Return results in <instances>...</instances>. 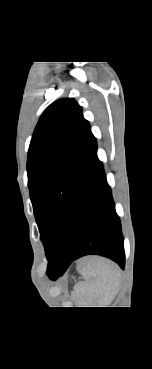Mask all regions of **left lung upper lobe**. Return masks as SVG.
Returning <instances> with one entry per match:
<instances>
[{
	"label": "left lung upper lobe",
	"mask_w": 152,
	"mask_h": 369,
	"mask_svg": "<svg viewBox=\"0 0 152 369\" xmlns=\"http://www.w3.org/2000/svg\"><path fill=\"white\" fill-rule=\"evenodd\" d=\"M95 143L89 122L73 98L51 104L32 135L28 186L48 262L59 252Z\"/></svg>",
	"instance_id": "left-lung-upper-lobe-1"
}]
</instances>
